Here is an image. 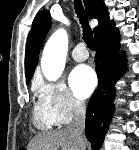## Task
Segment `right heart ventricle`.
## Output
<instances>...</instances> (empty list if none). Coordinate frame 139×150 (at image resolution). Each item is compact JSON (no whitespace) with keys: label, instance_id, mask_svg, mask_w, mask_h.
I'll return each instance as SVG.
<instances>
[{"label":"right heart ventricle","instance_id":"1","mask_svg":"<svg viewBox=\"0 0 139 150\" xmlns=\"http://www.w3.org/2000/svg\"><path fill=\"white\" fill-rule=\"evenodd\" d=\"M33 123L39 130L42 131L51 130L57 125L54 115L40 97L34 105Z\"/></svg>","mask_w":139,"mask_h":150}]
</instances>
